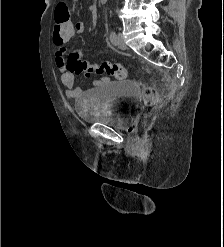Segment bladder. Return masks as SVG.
I'll use <instances>...</instances> for the list:
<instances>
[{
	"instance_id": "1",
	"label": "bladder",
	"mask_w": 224,
	"mask_h": 247,
	"mask_svg": "<svg viewBox=\"0 0 224 247\" xmlns=\"http://www.w3.org/2000/svg\"><path fill=\"white\" fill-rule=\"evenodd\" d=\"M139 108V90L134 82L109 81L86 91L77 112L86 123L127 130L133 126Z\"/></svg>"
}]
</instances>
